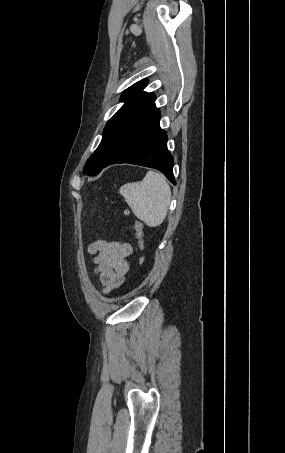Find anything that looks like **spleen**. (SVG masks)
<instances>
[{
	"label": "spleen",
	"instance_id": "3e777b00",
	"mask_svg": "<svg viewBox=\"0 0 285 453\" xmlns=\"http://www.w3.org/2000/svg\"><path fill=\"white\" fill-rule=\"evenodd\" d=\"M119 193L134 215L150 227L162 224L171 201V189L164 175L148 171L142 181L126 183Z\"/></svg>",
	"mask_w": 285,
	"mask_h": 453
}]
</instances>
